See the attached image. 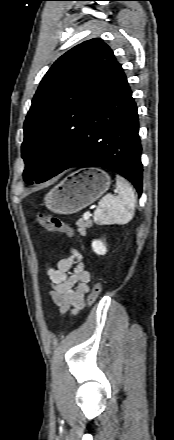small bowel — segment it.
I'll list each match as a JSON object with an SVG mask.
<instances>
[{
  "mask_svg": "<svg viewBox=\"0 0 174 440\" xmlns=\"http://www.w3.org/2000/svg\"><path fill=\"white\" fill-rule=\"evenodd\" d=\"M47 275L52 285L50 296L62 315H75L84 308L91 277L76 249L60 259L55 267L48 266Z\"/></svg>",
  "mask_w": 174,
  "mask_h": 440,
  "instance_id": "small-bowel-1",
  "label": "small bowel"
}]
</instances>
